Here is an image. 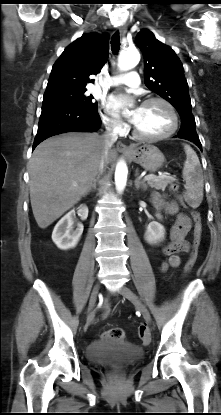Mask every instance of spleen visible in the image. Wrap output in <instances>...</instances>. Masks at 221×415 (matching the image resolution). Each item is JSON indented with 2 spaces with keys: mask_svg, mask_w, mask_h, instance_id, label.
<instances>
[{
  "mask_svg": "<svg viewBox=\"0 0 221 415\" xmlns=\"http://www.w3.org/2000/svg\"><path fill=\"white\" fill-rule=\"evenodd\" d=\"M186 161L183 168V179L186 182L185 200L193 208H197L203 200V174L199 158L195 151L184 145Z\"/></svg>",
  "mask_w": 221,
  "mask_h": 415,
  "instance_id": "1",
  "label": "spleen"
}]
</instances>
